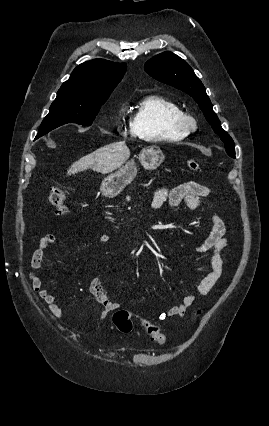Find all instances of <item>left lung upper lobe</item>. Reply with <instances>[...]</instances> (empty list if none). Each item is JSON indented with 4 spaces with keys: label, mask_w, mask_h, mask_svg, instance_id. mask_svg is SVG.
Instances as JSON below:
<instances>
[{
    "label": "left lung upper lobe",
    "mask_w": 269,
    "mask_h": 426,
    "mask_svg": "<svg viewBox=\"0 0 269 426\" xmlns=\"http://www.w3.org/2000/svg\"><path fill=\"white\" fill-rule=\"evenodd\" d=\"M145 71L153 78L171 85L189 94L198 103L206 120L225 144L226 152L235 158V145L230 135L221 127L220 120L214 113L206 89L193 69L179 56L164 52L145 63Z\"/></svg>",
    "instance_id": "obj_1"
}]
</instances>
